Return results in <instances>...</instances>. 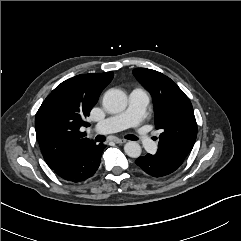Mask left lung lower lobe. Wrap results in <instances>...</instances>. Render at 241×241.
I'll return each instance as SVG.
<instances>
[{"instance_id":"0a47b994","label":"left lung lower lobe","mask_w":241,"mask_h":241,"mask_svg":"<svg viewBox=\"0 0 241 241\" xmlns=\"http://www.w3.org/2000/svg\"><path fill=\"white\" fill-rule=\"evenodd\" d=\"M135 163L146 174L153 177H163L173 173L178 169L177 166L163 162L151 154L137 158Z\"/></svg>"}]
</instances>
